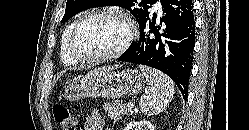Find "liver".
<instances>
[{"label":"liver","instance_id":"liver-1","mask_svg":"<svg viewBox=\"0 0 249 130\" xmlns=\"http://www.w3.org/2000/svg\"><path fill=\"white\" fill-rule=\"evenodd\" d=\"M106 70H111V68L109 67V68H100V69H96V70H94V71H91L90 73H93V72H97V71H106Z\"/></svg>","mask_w":249,"mask_h":130}]
</instances>
